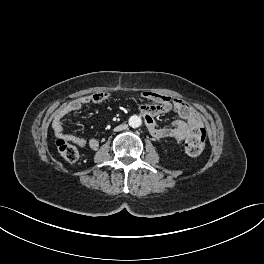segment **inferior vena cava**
<instances>
[{"mask_svg":"<svg viewBox=\"0 0 264 264\" xmlns=\"http://www.w3.org/2000/svg\"><path fill=\"white\" fill-rule=\"evenodd\" d=\"M129 128V125L128 124H124V125H119V126H116L115 127V130L116 131H121V130H126Z\"/></svg>","mask_w":264,"mask_h":264,"instance_id":"1","label":"inferior vena cava"}]
</instances>
